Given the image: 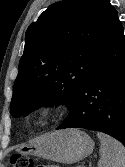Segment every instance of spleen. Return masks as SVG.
Instances as JSON below:
<instances>
[{"label":"spleen","mask_w":125,"mask_h":167,"mask_svg":"<svg viewBox=\"0 0 125 167\" xmlns=\"http://www.w3.org/2000/svg\"><path fill=\"white\" fill-rule=\"evenodd\" d=\"M101 142L98 167H125V147L116 139L97 133Z\"/></svg>","instance_id":"1"}]
</instances>
